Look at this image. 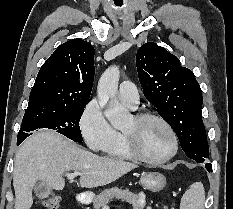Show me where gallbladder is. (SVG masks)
Wrapping results in <instances>:
<instances>
[{"instance_id":"bac80fb5","label":"gallbladder","mask_w":233,"mask_h":209,"mask_svg":"<svg viewBox=\"0 0 233 209\" xmlns=\"http://www.w3.org/2000/svg\"><path fill=\"white\" fill-rule=\"evenodd\" d=\"M34 192H35L36 196L41 198V199L47 198L48 196H50L52 194L51 188L49 186H47L46 184H43L41 182H38L35 184Z\"/></svg>"}]
</instances>
